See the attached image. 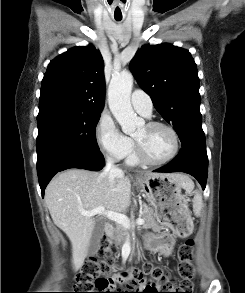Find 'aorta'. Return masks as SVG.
I'll return each instance as SVG.
<instances>
[{
	"label": "aorta",
	"instance_id": "1",
	"mask_svg": "<svg viewBox=\"0 0 245 293\" xmlns=\"http://www.w3.org/2000/svg\"><path fill=\"white\" fill-rule=\"evenodd\" d=\"M133 75L121 72L112 77L108 88L109 108L125 134L135 132L143 120L134 113L130 102Z\"/></svg>",
	"mask_w": 245,
	"mask_h": 293
}]
</instances>
